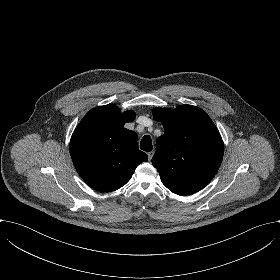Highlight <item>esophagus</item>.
<instances>
[{
	"label": "esophagus",
	"instance_id": "esophagus-1",
	"mask_svg": "<svg viewBox=\"0 0 280 280\" xmlns=\"http://www.w3.org/2000/svg\"><path fill=\"white\" fill-rule=\"evenodd\" d=\"M147 155H148V160L151 161V159L154 155V151L148 152Z\"/></svg>",
	"mask_w": 280,
	"mask_h": 280
}]
</instances>
